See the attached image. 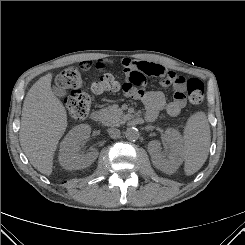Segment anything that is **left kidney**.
Here are the masks:
<instances>
[{
	"label": "left kidney",
	"instance_id": "1",
	"mask_svg": "<svg viewBox=\"0 0 245 245\" xmlns=\"http://www.w3.org/2000/svg\"><path fill=\"white\" fill-rule=\"evenodd\" d=\"M164 141L168 153L161 152L160 142L157 140L149 142L148 152L156 168L166 173L174 172L183 161V140L177 130L168 128L164 134Z\"/></svg>",
	"mask_w": 245,
	"mask_h": 245
}]
</instances>
